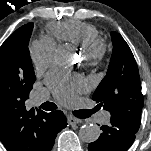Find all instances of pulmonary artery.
Here are the masks:
<instances>
[{"instance_id":"e3ab8cb5","label":"pulmonary artery","mask_w":151,"mask_h":151,"mask_svg":"<svg viewBox=\"0 0 151 151\" xmlns=\"http://www.w3.org/2000/svg\"><path fill=\"white\" fill-rule=\"evenodd\" d=\"M48 100V96L45 93H39L36 96V102L38 104H42L44 102H46ZM110 118V114L106 111H103L99 117H98V121L101 123H106Z\"/></svg>"}]
</instances>
